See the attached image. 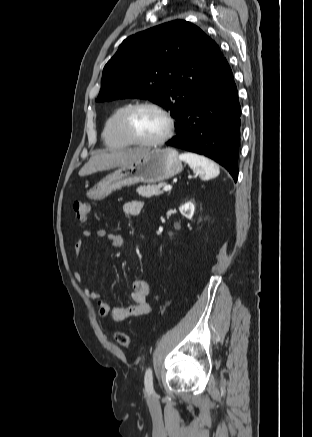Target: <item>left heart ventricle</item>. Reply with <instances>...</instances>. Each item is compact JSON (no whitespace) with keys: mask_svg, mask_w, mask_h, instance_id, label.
I'll list each match as a JSON object with an SVG mask.
<instances>
[{"mask_svg":"<svg viewBox=\"0 0 312 437\" xmlns=\"http://www.w3.org/2000/svg\"><path fill=\"white\" fill-rule=\"evenodd\" d=\"M132 129L141 140H154L166 130L164 118L156 111L144 108L137 111L132 119Z\"/></svg>","mask_w":312,"mask_h":437,"instance_id":"b2bd125f","label":"left heart ventricle"}]
</instances>
